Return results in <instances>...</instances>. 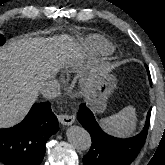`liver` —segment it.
<instances>
[{"label": "liver", "instance_id": "1", "mask_svg": "<svg viewBox=\"0 0 165 165\" xmlns=\"http://www.w3.org/2000/svg\"><path fill=\"white\" fill-rule=\"evenodd\" d=\"M64 40L22 37L0 48V128L21 122L42 84L61 68L56 52Z\"/></svg>", "mask_w": 165, "mask_h": 165}]
</instances>
